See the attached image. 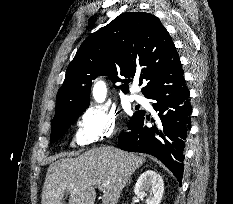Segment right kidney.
I'll return each instance as SVG.
<instances>
[{"label":"right kidney","mask_w":233,"mask_h":204,"mask_svg":"<svg viewBox=\"0 0 233 204\" xmlns=\"http://www.w3.org/2000/svg\"><path fill=\"white\" fill-rule=\"evenodd\" d=\"M134 193L139 198L146 197L147 204H160L164 193L162 177L153 170L145 171L137 179Z\"/></svg>","instance_id":"1"}]
</instances>
